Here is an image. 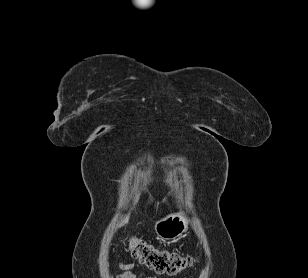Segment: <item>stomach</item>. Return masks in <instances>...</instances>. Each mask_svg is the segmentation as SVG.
Wrapping results in <instances>:
<instances>
[{
  "label": "stomach",
  "mask_w": 308,
  "mask_h": 278,
  "mask_svg": "<svg viewBox=\"0 0 308 278\" xmlns=\"http://www.w3.org/2000/svg\"><path fill=\"white\" fill-rule=\"evenodd\" d=\"M189 218L184 213L170 214L155 223V232L163 240H175L188 228Z\"/></svg>",
  "instance_id": "0dacf381"
}]
</instances>
